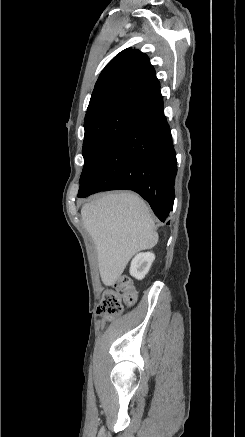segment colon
Here are the masks:
<instances>
[{
  "label": "colon",
  "instance_id": "5ec220e1",
  "mask_svg": "<svg viewBox=\"0 0 245 437\" xmlns=\"http://www.w3.org/2000/svg\"><path fill=\"white\" fill-rule=\"evenodd\" d=\"M137 300V291L132 281L126 277H121L113 289L108 290L103 295L98 313L107 319H113L122 311L123 304L133 305Z\"/></svg>",
  "mask_w": 245,
  "mask_h": 437
}]
</instances>
